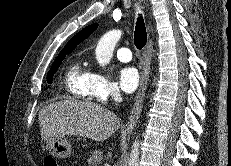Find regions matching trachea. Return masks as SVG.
Returning a JSON list of instances; mask_svg holds the SVG:
<instances>
[{
    "label": "trachea",
    "mask_w": 231,
    "mask_h": 166,
    "mask_svg": "<svg viewBox=\"0 0 231 166\" xmlns=\"http://www.w3.org/2000/svg\"><path fill=\"white\" fill-rule=\"evenodd\" d=\"M147 42V32L144 24L143 17L140 16L137 19L135 32H134V44L138 50H142Z\"/></svg>",
    "instance_id": "1"
}]
</instances>
